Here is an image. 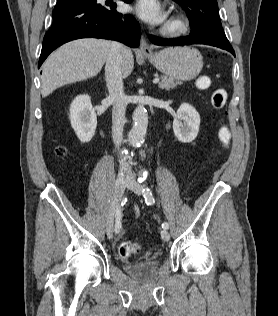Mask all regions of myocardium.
Masks as SVG:
<instances>
[{
	"label": "myocardium",
	"instance_id": "1",
	"mask_svg": "<svg viewBox=\"0 0 278 316\" xmlns=\"http://www.w3.org/2000/svg\"><path fill=\"white\" fill-rule=\"evenodd\" d=\"M189 28L188 21L178 13H173L163 25L161 32L170 37L183 35Z\"/></svg>",
	"mask_w": 278,
	"mask_h": 316
}]
</instances>
